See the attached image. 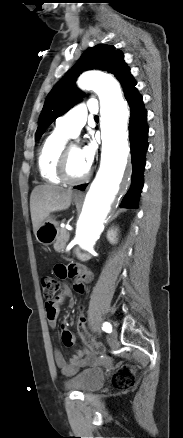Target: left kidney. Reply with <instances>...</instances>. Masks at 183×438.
Masks as SVG:
<instances>
[{"label": "left kidney", "mask_w": 183, "mask_h": 438, "mask_svg": "<svg viewBox=\"0 0 183 438\" xmlns=\"http://www.w3.org/2000/svg\"><path fill=\"white\" fill-rule=\"evenodd\" d=\"M117 236H118V229L117 228H111L107 232V239L111 244H115L117 242Z\"/></svg>", "instance_id": "obj_1"}]
</instances>
